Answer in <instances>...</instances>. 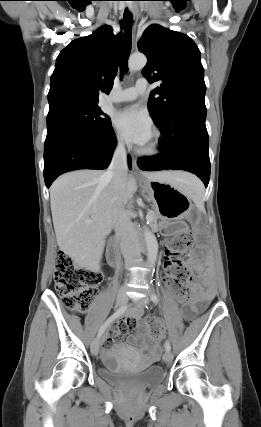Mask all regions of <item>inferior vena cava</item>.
<instances>
[{"label": "inferior vena cava", "instance_id": "602c4592", "mask_svg": "<svg viewBox=\"0 0 261 427\" xmlns=\"http://www.w3.org/2000/svg\"><path fill=\"white\" fill-rule=\"evenodd\" d=\"M128 175L127 155L124 143L116 146L111 163L105 176L111 178L117 191L125 186ZM115 231L121 241V252L128 267L139 257V241L132 221L123 207L116 210L114 218Z\"/></svg>", "mask_w": 261, "mask_h": 427}]
</instances>
